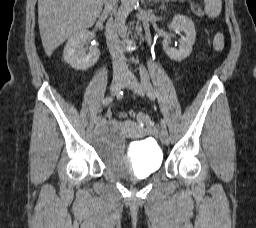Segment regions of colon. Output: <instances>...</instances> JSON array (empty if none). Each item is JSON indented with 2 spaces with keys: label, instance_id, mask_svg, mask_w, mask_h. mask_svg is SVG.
Listing matches in <instances>:
<instances>
[{
  "label": "colon",
  "instance_id": "obj_1",
  "mask_svg": "<svg viewBox=\"0 0 256 228\" xmlns=\"http://www.w3.org/2000/svg\"><path fill=\"white\" fill-rule=\"evenodd\" d=\"M191 7H192V11L195 15L201 16L203 14L202 8L200 7L199 4L192 2ZM224 45H225L224 35H223V33L218 32L215 35L214 41H213L214 49L217 51H222L224 49ZM136 120L141 125H144V126L151 125L150 117L145 113H138L136 116Z\"/></svg>",
  "mask_w": 256,
  "mask_h": 228
}]
</instances>
